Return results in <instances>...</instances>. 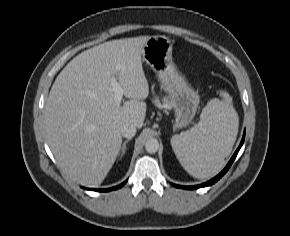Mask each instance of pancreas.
<instances>
[{
	"mask_svg": "<svg viewBox=\"0 0 290 236\" xmlns=\"http://www.w3.org/2000/svg\"><path fill=\"white\" fill-rule=\"evenodd\" d=\"M153 103L155 104V106H157L159 108H165L166 106L169 105L168 99L165 97L162 99V103L158 98H155L153 100Z\"/></svg>",
	"mask_w": 290,
	"mask_h": 236,
	"instance_id": "1",
	"label": "pancreas"
}]
</instances>
